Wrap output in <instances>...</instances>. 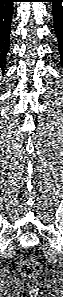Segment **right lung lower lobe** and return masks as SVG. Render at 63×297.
I'll list each match as a JSON object with an SVG mask.
<instances>
[{
    "instance_id": "1",
    "label": "right lung lower lobe",
    "mask_w": 63,
    "mask_h": 297,
    "mask_svg": "<svg viewBox=\"0 0 63 297\" xmlns=\"http://www.w3.org/2000/svg\"><path fill=\"white\" fill-rule=\"evenodd\" d=\"M15 0H0V68L4 71L9 50V34Z\"/></svg>"
}]
</instances>
